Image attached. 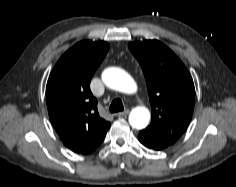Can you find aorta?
Here are the masks:
<instances>
[{"label": "aorta", "mask_w": 236, "mask_h": 187, "mask_svg": "<svg viewBox=\"0 0 236 187\" xmlns=\"http://www.w3.org/2000/svg\"><path fill=\"white\" fill-rule=\"evenodd\" d=\"M104 84L116 91L125 94H134L137 91V85L133 78L124 70L117 67H109L102 73ZM150 120V112L146 107L140 106L134 108L129 115V123L133 128L143 129Z\"/></svg>", "instance_id": "1"}]
</instances>
